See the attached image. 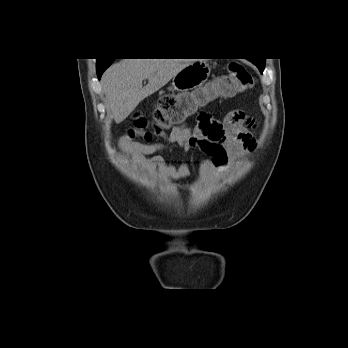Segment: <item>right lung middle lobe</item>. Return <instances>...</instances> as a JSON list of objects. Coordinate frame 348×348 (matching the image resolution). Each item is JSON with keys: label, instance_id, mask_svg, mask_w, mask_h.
Listing matches in <instances>:
<instances>
[{"label": "right lung middle lobe", "instance_id": "obj_1", "mask_svg": "<svg viewBox=\"0 0 348 348\" xmlns=\"http://www.w3.org/2000/svg\"><path fill=\"white\" fill-rule=\"evenodd\" d=\"M114 59H98L97 66H106L108 67Z\"/></svg>", "mask_w": 348, "mask_h": 348}]
</instances>
